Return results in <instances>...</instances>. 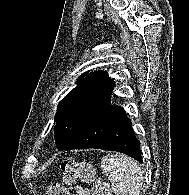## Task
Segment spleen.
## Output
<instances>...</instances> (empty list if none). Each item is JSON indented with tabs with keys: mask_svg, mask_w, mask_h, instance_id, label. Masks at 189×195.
Returning a JSON list of instances; mask_svg holds the SVG:
<instances>
[{
	"mask_svg": "<svg viewBox=\"0 0 189 195\" xmlns=\"http://www.w3.org/2000/svg\"><path fill=\"white\" fill-rule=\"evenodd\" d=\"M101 169L115 195H140L144 177L137 161L125 154H111L103 157Z\"/></svg>",
	"mask_w": 189,
	"mask_h": 195,
	"instance_id": "spleen-1",
	"label": "spleen"
}]
</instances>
